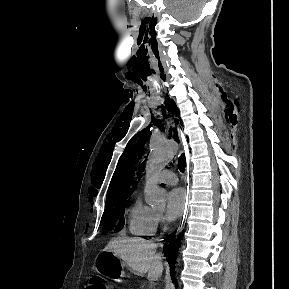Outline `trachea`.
<instances>
[{
    "label": "trachea",
    "mask_w": 289,
    "mask_h": 289,
    "mask_svg": "<svg viewBox=\"0 0 289 289\" xmlns=\"http://www.w3.org/2000/svg\"><path fill=\"white\" fill-rule=\"evenodd\" d=\"M185 166H186V159H185V155L182 154L178 159V168L181 172H184Z\"/></svg>",
    "instance_id": "trachea-1"
}]
</instances>
